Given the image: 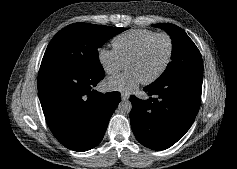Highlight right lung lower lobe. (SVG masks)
Listing matches in <instances>:
<instances>
[{
	"mask_svg": "<svg viewBox=\"0 0 237 169\" xmlns=\"http://www.w3.org/2000/svg\"><path fill=\"white\" fill-rule=\"evenodd\" d=\"M104 71L88 74L58 67H40L38 93L46 122L65 147L87 151L98 145L120 102L119 92L95 90Z\"/></svg>",
	"mask_w": 237,
	"mask_h": 169,
	"instance_id": "obj_1",
	"label": "right lung lower lobe"
}]
</instances>
